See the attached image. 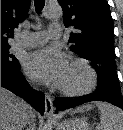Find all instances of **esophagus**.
I'll return each instance as SVG.
<instances>
[{"label":"esophagus","instance_id":"obj_1","mask_svg":"<svg viewBox=\"0 0 123 130\" xmlns=\"http://www.w3.org/2000/svg\"><path fill=\"white\" fill-rule=\"evenodd\" d=\"M53 99L51 98L50 95L46 94L45 95V112L44 116L48 119L54 118L53 114Z\"/></svg>","mask_w":123,"mask_h":130}]
</instances>
